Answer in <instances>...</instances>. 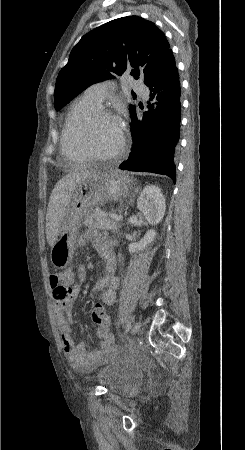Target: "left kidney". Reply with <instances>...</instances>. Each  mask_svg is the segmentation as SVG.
Masks as SVG:
<instances>
[{
    "label": "left kidney",
    "mask_w": 245,
    "mask_h": 450,
    "mask_svg": "<svg viewBox=\"0 0 245 450\" xmlns=\"http://www.w3.org/2000/svg\"><path fill=\"white\" fill-rule=\"evenodd\" d=\"M137 208L150 224H158L163 219L166 210L165 198L161 189L155 185L146 186L138 197ZM155 236V230L147 231L139 242L129 245L128 250L130 254L145 249L154 240Z\"/></svg>",
    "instance_id": "1"
}]
</instances>
